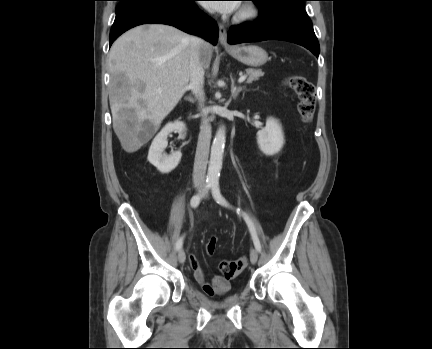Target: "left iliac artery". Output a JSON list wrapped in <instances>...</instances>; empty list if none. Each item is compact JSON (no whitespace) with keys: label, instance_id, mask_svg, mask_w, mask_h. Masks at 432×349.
Returning a JSON list of instances; mask_svg holds the SVG:
<instances>
[{"label":"left iliac artery","instance_id":"left-iliac-artery-1","mask_svg":"<svg viewBox=\"0 0 432 349\" xmlns=\"http://www.w3.org/2000/svg\"><path fill=\"white\" fill-rule=\"evenodd\" d=\"M211 190H212V195L218 204L225 206V207H229V203L226 201V199L223 197V195L220 192V187H219L218 181H215L212 183ZM237 212L239 213L240 210L238 209ZM242 215H243V218H244V220H245V222L249 228V231L251 233L252 240H253V243H254L256 250L258 252H261V244H260L259 238L257 236L253 221L251 220V218L246 213L242 212Z\"/></svg>","mask_w":432,"mask_h":349}]
</instances>
